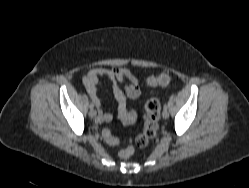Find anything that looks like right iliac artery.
Returning a JSON list of instances; mask_svg holds the SVG:
<instances>
[{
  "mask_svg": "<svg viewBox=\"0 0 249 188\" xmlns=\"http://www.w3.org/2000/svg\"><path fill=\"white\" fill-rule=\"evenodd\" d=\"M90 109H93L94 108V101L90 104Z\"/></svg>",
  "mask_w": 249,
  "mask_h": 188,
  "instance_id": "right-iliac-artery-1",
  "label": "right iliac artery"
}]
</instances>
